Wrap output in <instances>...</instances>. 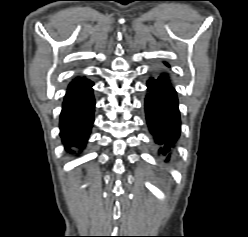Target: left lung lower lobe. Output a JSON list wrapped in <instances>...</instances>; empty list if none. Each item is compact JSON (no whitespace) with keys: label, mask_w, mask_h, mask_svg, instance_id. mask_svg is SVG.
Segmentation results:
<instances>
[{"label":"left lung lower lobe","mask_w":248,"mask_h":237,"mask_svg":"<svg viewBox=\"0 0 248 237\" xmlns=\"http://www.w3.org/2000/svg\"><path fill=\"white\" fill-rule=\"evenodd\" d=\"M149 94L146 96V119L157 144L166 154L179 136L180 117L176 91L171 88L166 75L150 79L147 83Z\"/></svg>","instance_id":"left-lung-lower-lobe-1"}]
</instances>
